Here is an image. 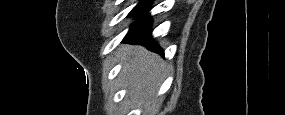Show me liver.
Listing matches in <instances>:
<instances>
[{
    "instance_id": "obj_1",
    "label": "liver",
    "mask_w": 285,
    "mask_h": 115,
    "mask_svg": "<svg viewBox=\"0 0 285 115\" xmlns=\"http://www.w3.org/2000/svg\"><path fill=\"white\" fill-rule=\"evenodd\" d=\"M116 57L125 61L121 76L131 97L148 102L163 80L165 63L141 46H122Z\"/></svg>"
}]
</instances>
